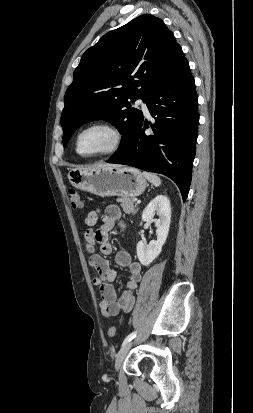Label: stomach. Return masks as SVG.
I'll use <instances>...</instances> for the list:
<instances>
[{
  "instance_id": "obj_1",
  "label": "stomach",
  "mask_w": 253,
  "mask_h": 413,
  "mask_svg": "<svg viewBox=\"0 0 253 413\" xmlns=\"http://www.w3.org/2000/svg\"><path fill=\"white\" fill-rule=\"evenodd\" d=\"M68 179L75 188L100 197H135L142 194L148 185L140 170L121 165L72 169L68 172Z\"/></svg>"
}]
</instances>
